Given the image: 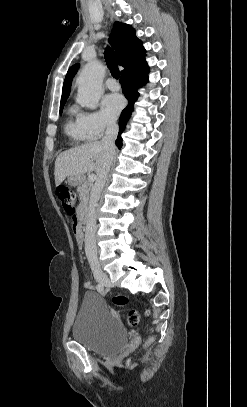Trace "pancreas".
I'll return each instance as SVG.
<instances>
[{
  "label": "pancreas",
  "mask_w": 247,
  "mask_h": 407,
  "mask_svg": "<svg viewBox=\"0 0 247 407\" xmlns=\"http://www.w3.org/2000/svg\"><path fill=\"white\" fill-rule=\"evenodd\" d=\"M92 184L89 182H84L83 184L77 187V192L79 193L80 197V206L85 207L89 200V192L91 189Z\"/></svg>",
  "instance_id": "1"
}]
</instances>
